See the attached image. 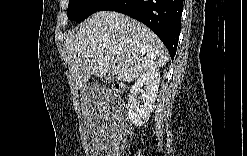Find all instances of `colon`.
<instances>
[{
	"label": "colon",
	"mask_w": 247,
	"mask_h": 156,
	"mask_svg": "<svg viewBox=\"0 0 247 156\" xmlns=\"http://www.w3.org/2000/svg\"><path fill=\"white\" fill-rule=\"evenodd\" d=\"M111 88H112V90H113L114 92H116V93H121V92L124 91L125 86H124V84L121 83V82L113 81V82L111 83Z\"/></svg>",
	"instance_id": "colon-1"
}]
</instances>
